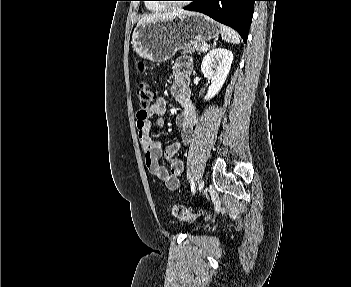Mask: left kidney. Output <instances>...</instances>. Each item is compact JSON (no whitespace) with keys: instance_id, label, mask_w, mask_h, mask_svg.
<instances>
[{"instance_id":"5707ae66","label":"left kidney","mask_w":351,"mask_h":287,"mask_svg":"<svg viewBox=\"0 0 351 287\" xmlns=\"http://www.w3.org/2000/svg\"><path fill=\"white\" fill-rule=\"evenodd\" d=\"M233 54L224 48L211 50L203 58L201 71L211 80L205 100L213 98L222 88L231 68Z\"/></svg>"}]
</instances>
